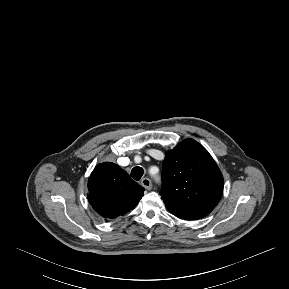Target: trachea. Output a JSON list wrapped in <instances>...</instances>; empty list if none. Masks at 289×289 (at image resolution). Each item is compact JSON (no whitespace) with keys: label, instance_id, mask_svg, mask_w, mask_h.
<instances>
[{"label":"trachea","instance_id":"3493384b","mask_svg":"<svg viewBox=\"0 0 289 289\" xmlns=\"http://www.w3.org/2000/svg\"><path fill=\"white\" fill-rule=\"evenodd\" d=\"M144 174V170L141 167H134L131 171V176L134 180L139 181Z\"/></svg>","mask_w":289,"mask_h":289}]
</instances>
